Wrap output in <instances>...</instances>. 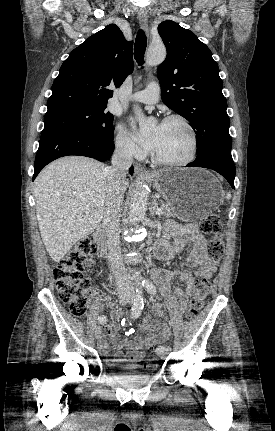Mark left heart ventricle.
Here are the masks:
<instances>
[{
	"label": "left heart ventricle",
	"mask_w": 275,
	"mask_h": 431,
	"mask_svg": "<svg viewBox=\"0 0 275 431\" xmlns=\"http://www.w3.org/2000/svg\"><path fill=\"white\" fill-rule=\"evenodd\" d=\"M154 132H158V143L153 150L160 158L167 161H180L189 155L190 136L180 123L161 124L153 130Z\"/></svg>",
	"instance_id": "b2bd125f"
}]
</instances>
